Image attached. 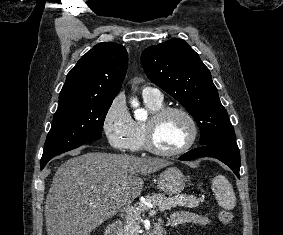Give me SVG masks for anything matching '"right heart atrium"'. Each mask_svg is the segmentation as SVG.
Instances as JSON below:
<instances>
[{
    "label": "right heart atrium",
    "instance_id": "1",
    "mask_svg": "<svg viewBox=\"0 0 283 235\" xmlns=\"http://www.w3.org/2000/svg\"><path fill=\"white\" fill-rule=\"evenodd\" d=\"M103 130L112 147L118 150L129 148L133 132V119L122 96L114 98L103 118Z\"/></svg>",
    "mask_w": 283,
    "mask_h": 235
}]
</instances>
